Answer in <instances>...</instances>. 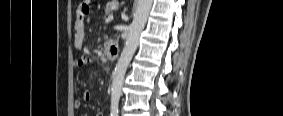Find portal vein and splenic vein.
I'll return each mask as SVG.
<instances>
[{
    "label": "portal vein and splenic vein",
    "instance_id": "portal-vein-and-splenic-vein-1",
    "mask_svg": "<svg viewBox=\"0 0 283 116\" xmlns=\"http://www.w3.org/2000/svg\"><path fill=\"white\" fill-rule=\"evenodd\" d=\"M113 20V16L112 15H109L106 19V22H111Z\"/></svg>",
    "mask_w": 283,
    "mask_h": 116
}]
</instances>
